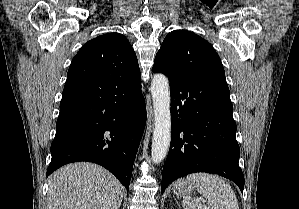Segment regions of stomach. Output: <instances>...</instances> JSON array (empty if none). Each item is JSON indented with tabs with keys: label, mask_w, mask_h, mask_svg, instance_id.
I'll return each mask as SVG.
<instances>
[{
	"label": "stomach",
	"mask_w": 299,
	"mask_h": 209,
	"mask_svg": "<svg viewBox=\"0 0 299 209\" xmlns=\"http://www.w3.org/2000/svg\"><path fill=\"white\" fill-rule=\"evenodd\" d=\"M195 189L193 184H188L185 180H179L175 183L173 192L177 195V197H186L188 194L193 192Z\"/></svg>",
	"instance_id": "1"
}]
</instances>
